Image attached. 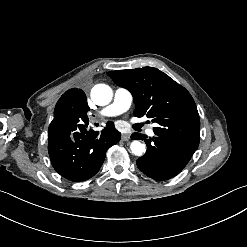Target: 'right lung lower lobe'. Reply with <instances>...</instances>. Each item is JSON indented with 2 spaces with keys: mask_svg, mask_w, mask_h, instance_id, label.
I'll return each instance as SVG.
<instances>
[{
  "mask_svg": "<svg viewBox=\"0 0 247 247\" xmlns=\"http://www.w3.org/2000/svg\"><path fill=\"white\" fill-rule=\"evenodd\" d=\"M89 120L63 135H48V152L54 169L64 178L81 182L93 177L102 166L106 151L118 143L121 133L113 122L99 132L88 131Z\"/></svg>",
  "mask_w": 247,
  "mask_h": 247,
  "instance_id": "98d812e1",
  "label": "right lung lower lobe"
}]
</instances>
